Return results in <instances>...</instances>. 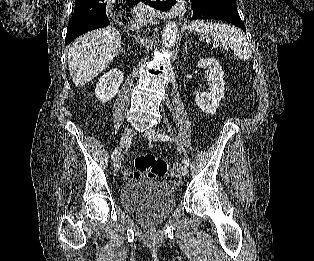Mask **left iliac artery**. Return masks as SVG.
Returning a JSON list of instances; mask_svg holds the SVG:
<instances>
[{"mask_svg": "<svg viewBox=\"0 0 314 261\" xmlns=\"http://www.w3.org/2000/svg\"><path fill=\"white\" fill-rule=\"evenodd\" d=\"M158 138L160 139V140H162V141H170V142H174V140L172 139V138H170V136H168V135H166V134H158ZM183 163L187 166V167H189V161L186 159V158H184L183 159Z\"/></svg>", "mask_w": 314, "mask_h": 261, "instance_id": "left-iliac-artery-1", "label": "left iliac artery"}]
</instances>
